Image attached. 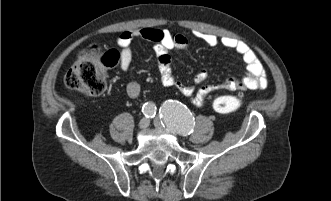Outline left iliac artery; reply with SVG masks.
<instances>
[{"instance_id": "1", "label": "left iliac artery", "mask_w": 331, "mask_h": 201, "mask_svg": "<svg viewBox=\"0 0 331 201\" xmlns=\"http://www.w3.org/2000/svg\"><path fill=\"white\" fill-rule=\"evenodd\" d=\"M159 113L164 126L169 130L182 136L193 132L194 117L181 102L168 100L160 107Z\"/></svg>"}]
</instances>
